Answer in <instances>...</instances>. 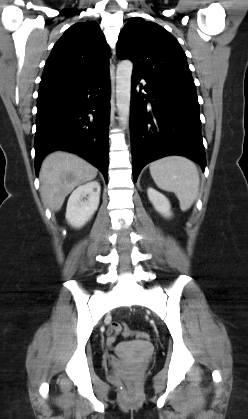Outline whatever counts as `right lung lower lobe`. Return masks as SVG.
<instances>
[{"mask_svg":"<svg viewBox=\"0 0 248 419\" xmlns=\"http://www.w3.org/2000/svg\"><path fill=\"white\" fill-rule=\"evenodd\" d=\"M35 168L54 150L79 154L108 177L109 68L74 84L38 91Z\"/></svg>","mask_w":248,"mask_h":419,"instance_id":"right-lung-lower-lobe-1","label":"right lung lower lobe"}]
</instances>
